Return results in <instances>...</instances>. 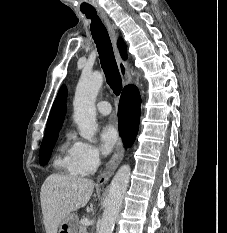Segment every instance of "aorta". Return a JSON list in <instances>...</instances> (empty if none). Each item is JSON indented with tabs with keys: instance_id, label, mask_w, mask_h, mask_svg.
<instances>
[{
	"instance_id": "1",
	"label": "aorta",
	"mask_w": 227,
	"mask_h": 233,
	"mask_svg": "<svg viewBox=\"0 0 227 233\" xmlns=\"http://www.w3.org/2000/svg\"><path fill=\"white\" fill-rule=\"evenodd\" d=\"M102 83L103 75L100 72L83 74L77 84L73 101L74 121L79 128L80 136L91 142L98 128L95 101ZM130 174V166L123 165L113 177L105 200L99 233L113 232L129 184Z\"/></svg>"
}]
</instances>
